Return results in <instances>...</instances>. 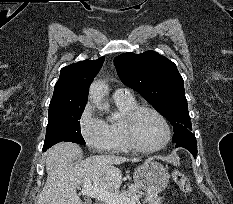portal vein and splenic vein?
Here are the masks:
<instances>
[{
    "mask_svg": "<svg viewBox=\"0 0 233 204\" xmlns=\"http://www.w3.org/2000/svg\"><path fill=\"white\" fill-rule=\"evenodd\" d=\"M81 194L96 198L106 204H136L141 197L140 195H134L131 198H128L121 196L120 194L110 193L103 189L93 187L91 181L84 183Z\"/></svg>",
    "mask_w": 233,
    "mask_h": 204,
    "instance_id": "portal-vein-and-splenic-vein-1",
    "label": "portal vein and splenic vein"
}]
</instances>
